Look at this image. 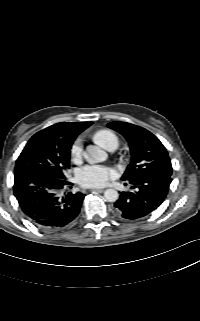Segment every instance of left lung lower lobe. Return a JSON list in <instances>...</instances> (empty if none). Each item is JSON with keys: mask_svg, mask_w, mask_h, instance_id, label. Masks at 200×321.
<instances>
[{"mask_svg": "<svg viewBox=\"0 0 200 321\" xmlns=\"http://www.w3.org/2000/svg\"><path fill=\"white\" fill-rule=\"evenodd\" d=\"M133 189L122 192L115 202L116 214L123 220L144 217L161 205L169 190L171 177L166 175H146L126 179Z\"/></svg>", "mask_w": 200, "mask_h": 321, "instance_id": "left-lung-lower-lobe-1", "label": "left lung lower lobe"}]
</instances>
